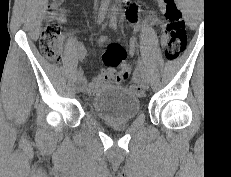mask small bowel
I'll use <instances>...</instances> for the list:
<instances>
[{"label":"small bowel","mask_w":231,"mask_h":177,"mask_svg":"<svg viewBox=\"0 0 231 177\" xmlns=\"http://www.w3.org/2000/svg\"><path fill=\"white\" fill-rule=\"evenodd\" d=\"M61 0H57V2L52 5L51 4V11L56 16V19L60 23L66 22V11L63 8H57L58 3ZM127 7V18L130 22H132L136 27H139V18H138V6L133 3L131 0H124ZM159 3L163 4V0H158ZM147 23H156L157 19L154 16H150L147 20ZM70 42L74 46V50L76 54L83 58L85 57L86 53L84 48L77 43L73 38H69ZM162 44L165 45V41L162 40ZM107 65V64H106ZM108 69H104L100 72V74L93 79L88 84L87 90L89 93L93 94L95 93L99 87L106 86L109 84H123L128 76H129V70H130V64L126 62H121L118 65L112 66L108 65Z\"/></svg>","instance_id":"obj_1"}]
</instances>
